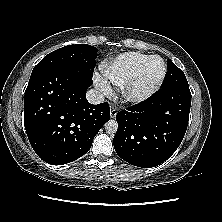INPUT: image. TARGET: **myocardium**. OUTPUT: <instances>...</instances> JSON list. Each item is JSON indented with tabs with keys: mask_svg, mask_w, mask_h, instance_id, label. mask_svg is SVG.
<instances>
[{
	"mask_svg": "<svg viewBox=\"0 0 222 222\" xmlns=\"http://www.w3.org/2000/svg\"><path fill=\"white\" fill-rule=\"evenodd\" d=\"M154 59H160L163 64V71L161 76L151 86L146 89L140 90L139 85L143 79L145 71L149 64ZM167 75V65L164 59L158 55H153L147 59L139 68L137 73L124 85L123 95L125 99L133 104L142 103L150 99L161 87Z\"/></svg>",
	"mask_w": 222,
	"mask_h": 222,
	"instance_id": "myocardium-1",
	"label": "myocardium"
}]
</instances>
